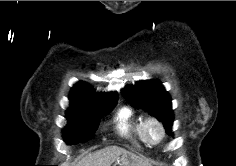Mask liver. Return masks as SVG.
Wrapping results in <instances>:
<instances>
[{"instance_id":"obj_1","label":"liver","mask_w":236,"mask_h":166,"mask_svg":"<svg viewBox=\"0 0 236 166\" xmlns=\"http://www.w3.org/2000/svg\"><path fill=\"white\" fill-rule=\"evenodd\" d=\"M133 155L127 150L111 146L89 154L78 161L74 166H111L120 156ZM132 166H149L147 161L133 155Z\"/></svg>"}]
</instances>
